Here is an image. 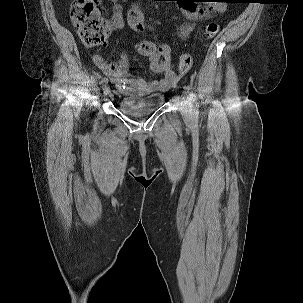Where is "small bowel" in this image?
I'll use <instances>...</instances> for the list:
<instances>
[{"instance_id":"c3829d8e","label":"small bowel","mask_w":303,"mask_h":303,"mask_svg":"<svg viewBox=\"0 0 303 303\" xmlns=\"http://www.w3.org/2000/svg\"><path fill=\"white\" fill-rule=\"evenodd\" d=\"M113 4L112 16L110 18V29H120L124 24L123 6L119 0H109ZM181 4L182 11L187 19V23L180 28L181 37L185 38L192 31L194 23L202 19H210L215 14L225 10V4L222 0H210L206 6H199L195 1L185 0ZM142 0H135L128 12L127 20L130 28L137 33L143 32L146 28L144 13L142 11ZM137 50L141 55L146 56L150 62V70L153 73L161 75L159 80L143 79L134 75L130 56L127 52L122 51L118 63L104 58L100 55L94 56L95 65L101 69L110 80L123 93L130 91L147 94L154 91H167L172 87L177 79V75L170 68L168 63L162 62V57L170 53V48L162 43H156L151 40H142L137 45Z\"/></svg>"}]
</instances>
